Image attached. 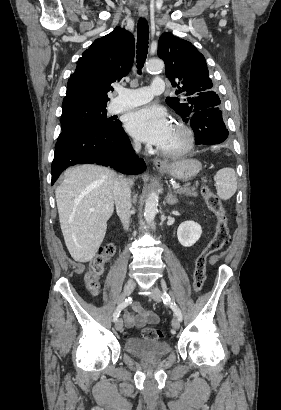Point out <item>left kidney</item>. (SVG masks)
Here are the masks:
<instances>
[{
  "label": "left kidney",
  "mask_w": 281,
  "mask_h": 410,
  "mask_svg": "<svg viewBox=\"0 0 281 410\" xmlns=\"http://www.w3.org/2000/svg\"><path fill=\"white\" fill-rule=\"evenodd\" d=\"M201 234V226L194 221H185L177 229L178 241L184 247L193 246L199 240Z\"/></svg>",
  "instance_id": "left-kidney-1"
}]
</instances>
